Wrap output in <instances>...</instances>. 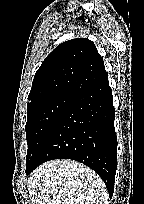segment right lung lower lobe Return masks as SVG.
I'll list each match as a JSON object with an SVG mask.
<instances>
[{
	"mask_svg": "<svg viewBox=\"0 0 144 204\" xmlns=\"http://www.w3.org/2000/svg\"><path fill=\"white\" fill-rule=\"evenodd\" d=\"M114 118L108 79L79 93L56 123L26 174L52 159H73L93 169L112 197L117 169Z\"/></svg>",
	"mask_w": 144,
	"mask_h": 204,
	"instance_id": "98d812e1",
	"label": "right lung lower lobe"
}]
</instances>
